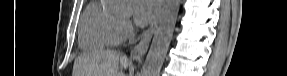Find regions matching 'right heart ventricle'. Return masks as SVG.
<instances>
[{
	"mask_svg": "<svg viewBox=\"0 0 287 76\" xmlns=\"http://www.w3.org/2000/svg\"><path fill=\"white\" fill-rule=\"evenodd\" d=\"M117 19L98 3L87 6L79 29V43L83 49L98 50L119 42L115 33Z\"/></svg>",
	"mask_w": 287,
	"mask_h": 76,
	"instance_id": "right-heart-ventricle-1",
	"label": "right heart ventricle"
}]
</instances>
